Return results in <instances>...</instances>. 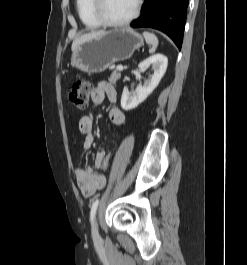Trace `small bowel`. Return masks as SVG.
<instances>
[{
  "label": "small bowel",
  "mask_w": 247,
  "mask_h": 265,
  "mask_svg": "<svg viewBox=\"0 0 247 265\" xmlns=\"http://www.w3.org/2000/svg\"><path fill=\"white\" fill-rule=\"evenodd\" d=\"M108 98L112 103L116 101V92L114 88L105 82L97 84L92 91V103L100 105L105 98ZM109 119L114 125H122L126 121L125 113L118 107H113L109 112ZM93 118L90 115L83 116L79 121V130L84 134L83 149L88 150L94 144V135L92 133ZM105 156V150H100L95 157V167L99 169L102 159ZM76 180L78 187L85 197L94 195L98 190L105 186L106 179L96 174L91 168L78 167L76 169Z\"/></svg>",
  "instance_id": "1"
}]
</instances>
